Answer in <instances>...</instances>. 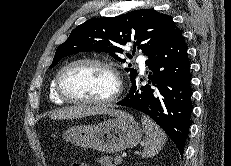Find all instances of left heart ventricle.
I'll list each match as a JSON object with an SVG mask.
<instances>
[{
	"label": "left heart ventricle",
	"instance_id": "b2bd125f",
	"mask_svg": "<svg viewBox=\"0 0 231 166\" xmlns=\"http://www.w3.org/2000/svg\"><path fill=\"white\" fill-rule=\"evenodd\" d=\"M67 95L78 99H104L115 88L113 76L95 64H79L66 70L61 79Z\"/></svg>",
	"mask_w": 231,
	"mask_h": 166
}]
</instances>
